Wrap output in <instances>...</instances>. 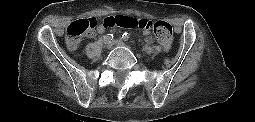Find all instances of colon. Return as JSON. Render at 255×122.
Listing matches in <instances>:
<instances>
[{
    "instance_id": "5ec220e1",
    "label": "colon",
    "mask_w": 255,
    "mask_h": 122,
    "mask_svg": "<svg viewBox=\"0 0 255 122\" xmlns=\"http://www.w3.org/2000/svg\"><path fill=\"white\" fill-rule=\"evenodd\" d=\"M109 26H117L125 29H139L152 31L165 52H169L172 46L173 30L165 21H153L146 18H136L124 15L107 17ZM97 22L93 18L76 20L69 24L66 31V41L69 47L77 48L81 39L94 32Z\"/></svg>"
}]
</instances>
